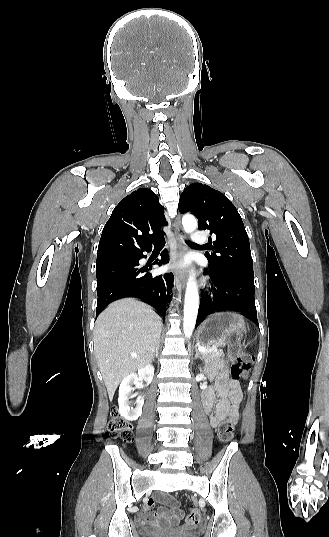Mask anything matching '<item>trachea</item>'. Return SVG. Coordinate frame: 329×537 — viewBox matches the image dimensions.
Masks as SVG:
<instances>
[{"instance_id": "3493384b", "label": "trachea", "mask_w": 329, "mask_h": 537, "mask_svg": "<svg viewBox=\"0 0 329 537\" xmlns=\"http://www.w3.org/2000/svg\"><path fill=\"white\" fill-rule=\"evenodd\" d=\"M187 244L189 245H195L194 243L192 242H187ZM165 245V239L164 237H160L155 243H154V246L155 247H163ZM198 246V245H197Z\"/></svg>"}]
</instances>
